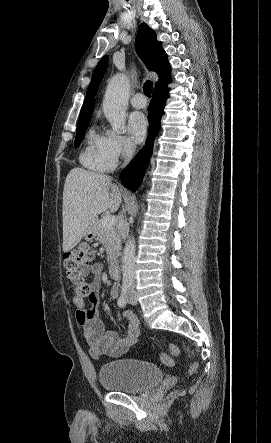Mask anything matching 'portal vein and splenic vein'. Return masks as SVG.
Here are the masks:
<instances>
[{
    "mask_svg": "<svg viewBox=\"0 0 271 443\" xmlns=\"http://www.w3.org/2000/svg\"><path fill=\"white\" fill-rule=\"evenodd\" d=\"M101 223L104 229H112L116 223V218H114V216H106V218H102Z\"/></svg>",
    "mask_w": 271,
    "mask_h": 443,
    "instance_id": "18ae733b",
    "label": "portal vein and splenic vein"
}]
</instances>
